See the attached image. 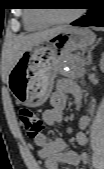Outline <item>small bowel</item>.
I'll list each match as a JSON object with an SVG mask.
<instances>
[{"mask_svg":"<svg viewBox=\"0 0 104 169\" xmlns=\"http://www.w3.org/2000/svg\"><path fill=\"white\" fill-rule=\"evenodd\" d=\"M71 95L75 104L81 103V91L78 85L70 80H64L54 90L50 98V107L43 112V120L47 125H59L63 121V112L67 104V96ZM89 118L83 117L79 122L81 131L76 133L74 139L80 146H86L87 136L83 129L88 125ZM39 148L38 154L44 160L46 169H69L68 166H77L85 162L87 155L69 150L62 138L51 139L40 135L35 139Z\"/></svg>","mask_w":104,"mask_h":169,"instance_id":"small-bowel-1","label":"small bowel"}]
</instances>
